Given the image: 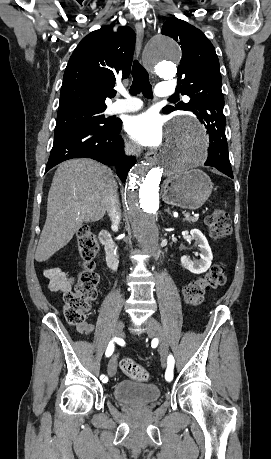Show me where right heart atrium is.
<instances>
[{"label": "right heart atrium", "mask_w": 271, "mask_h": 459, "mask_svg": "<svg viewBox=\"0 0 271 459\" xmlns=\"http://www.w3.org/2000/svg\"><path fill=\"white\" fill-rule=\"evenodd\" d=\"M122 147L127 156L133 157L137 154V148L126 138L122 140Z\"/></svg>", "instance_id": "obj_1"}]
</instances>
